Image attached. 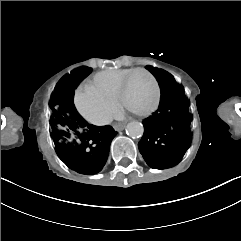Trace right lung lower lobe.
I'll list each match as a JSON object with an SVG mask.
<instances>
[{
    "instance_id": "98d812e1",
    "label": "right lung lower lobe",
    "mask_w": 241,
    "mask_h": 241,
    "mask_svg": "<svg viewBox=\"0 0 241 241\" xmlns=\"http://www.w3.org/2000/svg\"><path fill=\"white\" fill-rule=\"evenodd\" d=\"M90 71L89 68H82L66 77L67 90L74 95L77 84ZM65 109L74 139L72 142L54 141L59 158L80 174L92 175L100 172L107 161L111 141L117 132L111 126L97 127L89 124L77 112L73 99L65 101Z\"/></svg>"
}]
</instances>
